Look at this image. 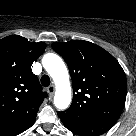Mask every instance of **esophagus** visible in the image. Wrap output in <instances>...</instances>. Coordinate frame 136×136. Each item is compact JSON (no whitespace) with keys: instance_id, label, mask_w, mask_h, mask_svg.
Here are the masks:
<instances>
[{"instance_id":"obj_1","label":"esophagus","mask_w":136,"mask_h":136,"mask_svg":"<svg viewBox=\"0 0 136 136\" xmlns=\"http://www.w3.org/2000/svg\"><path fill=\"white\" fill-rule=\"evenodd\" d=\"M47 91L49 93L50 96H53L54 95V92H55V86L54 85H50L48 88H47Z\"/></svg>"}]
</instances>
